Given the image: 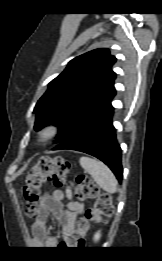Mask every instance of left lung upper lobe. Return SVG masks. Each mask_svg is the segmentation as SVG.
Returning <instances> with one entry per match:
<instances>
[{
    "mask_svg": "<svg viewBox=\"0 0 162 261\" xmlns=\"http://www.w3.org/2000/svg\"><path fill=\"white\" fill-rule=\"evenodd\" d=\"M115 62L108 49H95L71 60L37 102L34 128L58 126L57 142H61L99 112L116 95Z\"/></svg>",
    "mask_w": 162,
    "mask_h": 261,
    "instance_id": "1",
    "label": "left lung upper lobe"
}]
</instances>
